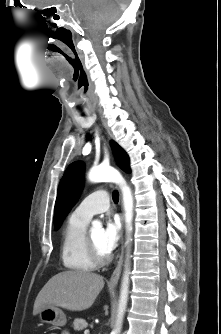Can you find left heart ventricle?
I'll use <instances>...</instances> for the list:
<instances>
[{
	"label": "left heart ventricle",
	"instance_id": "b2bd125f",
	"mask_svg": "<svg viewBox=\"0 0 221 334\" xmlns=\"http://www.w3.org/2000/svg\"><path fill=\"white\" fill-rule=\"evenodd\" d=\"M90 236L92 240L94 241L95 245L97 248L102 252V253H107L103 247H102V230L100 229H95L90 232Z\"/></svg>",
	"mask_w": 221,
	"mask_h": 334
}]
</instances>
